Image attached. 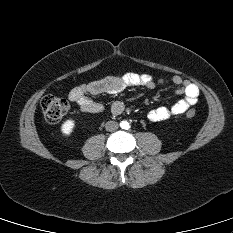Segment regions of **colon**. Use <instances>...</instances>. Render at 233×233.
Here are the masks:
<instances>
[{
  "mask_svg": "<svg viewBox=\"0 0 233 233\" xmlns=\"http://www.w3.org/2000/svg\"><path fill=\"white\" fill-rule=\"evenodd\" d=\"M41 108L45 119L50 123L59 122L68 111V103L65 99L52 95H46L41 100ZM196 115L195 109H189L186 117L193 118Z\"/></svg>",
  "mask_w": 233,
  "mask_h": 233,
  "instance_id": "5ec220e1",
  "label": "colon"
}]
</instances>
